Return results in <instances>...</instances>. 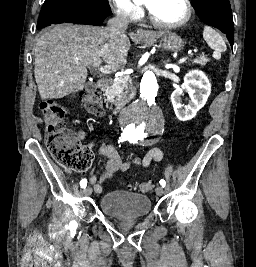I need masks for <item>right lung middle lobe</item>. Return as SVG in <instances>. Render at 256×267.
Masks as SVG:
<instances>
[{
	"instance_id": "1",
	"label": "right lung middle lobe",
	"mask_w": 256,
	"mask_h": 267,
	"mask_svg": "<svg viewBox=\"0 0 256 267\" xmlns=\"http://www.w3.org/2000/svg\"><path fill=\"white\" fill-rule=\"evenodd\" d=\"M82 14L106 18L112 12L108 0H45L38 23Z\"/></svg>"
}]
</instances>
